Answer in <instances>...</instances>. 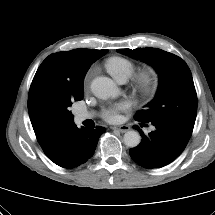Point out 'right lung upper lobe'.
Wrapping results in <instances>:
<instances>
[{
  "instance_id": "right-lung-upper-lobe-1",
  "label": "right lung upper lobe",
  "mask_w": 215,
  "mask_h": 215,
  "mask_svg": "<svg viewBox=\"0 0 215 215\" xmlns=\"http://www.w3.org/2000/svg\"><path fill=\"white\" fill-rule=\"evenodd\" d=\"M104 55V50H95V49H74L67 52H59L55 54H51L48 56L44 63L48 62H58L62 63V61L67 59H74L81 63H83V70L79 74L70 78V82L75 87L83 88V78L90 67L91 63L99 59ZM62 74L65 77L67 76L64 66H62L61 70ZM30 120L32 123V127L34 129L36 138L42 147L45 154L51 153L58 142L62 139L65 133L70 130L72 127L76 126L73 121L61 123V124H53L39 119L32 113H29Z\"/></svg>"
}]
</instances>
